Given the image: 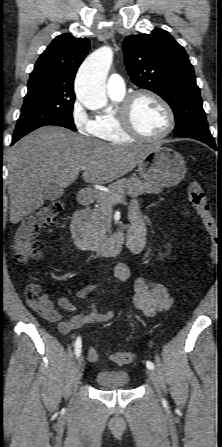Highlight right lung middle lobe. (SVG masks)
I'll list each match as a JSON object with an SVG mask.
<instances>
[{
	"mask_svg": "<svg viewBox=\"0 0 222 447\" xmlns=\"http://www.w3.org/2000/svg\"><path fill=\"white\" fill-rule=\"evenodd\" d=\"M75 96L56 92L47 85L28 88L13 139L46 125H56L76 131L72 110Z\"/></svg>",
	"mask_w": 222,
	"mask_h": 447,
	"instance_id": "1",
	"label": "right lung middle lobe"
}]
</instances>
